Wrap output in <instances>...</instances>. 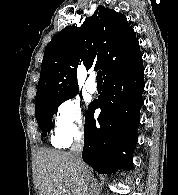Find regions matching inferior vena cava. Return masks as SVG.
Returning a JSON list of instances; mask_svg holds the SVG:
<instances>
[{
  "label": "inferior vena cava",
  "mask_w": 178,
  "mask_h": 195,
  "mask_svg": "<svg viewBox=\"0 0 178 195\" xmlns=\"http://www.w3.org/2000/svg\"><path fill=\"white\" fill-rule=\"evenodd\" d=\"M83 139L81 137L75 138L74 143L72 145V154L74 155L75 162L78 166V168L83 172V174L86 173L84 163L81 158V153L83 150ZM91 194L92 195H98V189L96 186V183L92 182L91 183Z\"/></svg>",
  "instance_id": "inferior-vena-cava-1"
}]
</instances>
